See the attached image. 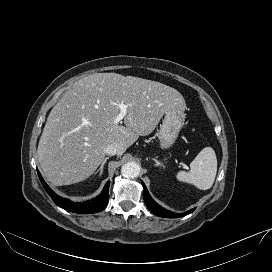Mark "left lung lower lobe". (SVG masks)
<instances>
[{"mask_svg": "<svg viewBox=\"0 0 272 272\" xmlns=\"http://www.w3.org/2000/svg\"><path fill=\"white\" fill-rule=\"evenodd\" d=\"M142 185L144 187V200H145V203L148 207V209L154 213L155 215L157 216H160V217H166V218H178V217H183V216H186L190 213H192L194 211V209H191L185 213H180V214H176V213H173L171 211H168L164 208H162L160 205H158L150 196L145 184L142 182Z\"/></svg>", "mask_w": 272, "mask_h": 272, "instance_id": "1", "label": "left lung lower lobe"}]
</instances>
